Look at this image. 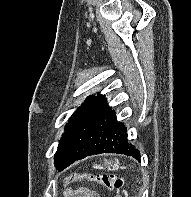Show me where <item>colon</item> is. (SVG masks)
Returning a JSON list of instances; mask_svg holds the SVG:
<instances>
[{
	"label": "colon",
	"instance_id": "5ec220e1",
	"mask_svg": "<svg viewBox=\"0 0 191 197\" xmlns=\"http://www.w3.org/2000/svg\"><path fill=\"white\" fill-rule=\"evenodd\" d=\"M64 180L66 183H74V182L96 183L108 189L116 190L118 192L116 197H121L119 192L124 184L123 179L115 174L94 175V174H86V173H73L67 175Z\"/></svg>",
	"mask_w": 191,
	"mask_h": 197
}]
</instances>
